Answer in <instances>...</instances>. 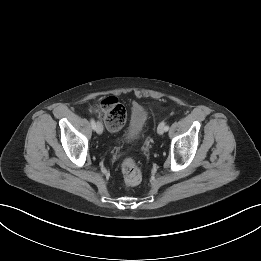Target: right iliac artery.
<instances>
[{"label": "right iliac artery", "instance_id": "1", "mask_svg": "<svg viewBox=\"0 0 261 261\" xmlns=\"http://www.w3.org/2000/svg\"><path fill=\"white\" fill-rule=\"evenodd\" d=\"M90 123H91L92 129L95 130V128H96L95 120H94V119H91V120H90Z\"/></svg>", "mask_w": 261, "mask_h": 261}]
</instances>
